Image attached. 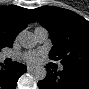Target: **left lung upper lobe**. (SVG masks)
Listing matches in <instances>:
<instances>
[{
    "label": "left lung upper lobe",
    "instance_id": "5c2ea615",
    "mask_svg": "<svg viewBox=\"0 0 89 89\" xmlns=\"http://www.w3.org/2000/svg\"><path fill=\"white\" fill-rule=\"evenodd\" d=\"M31 11L50 33L49 58L60 60L65 68L89 69V22L63 8L43 6Z\"/></svg>",
    "mask_w": 89,
    "mask_h": 89
}]
</instances>
